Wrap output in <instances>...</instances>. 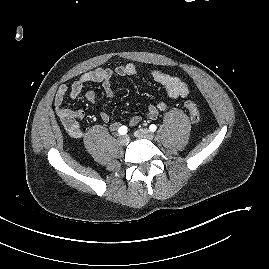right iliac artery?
<instances>
[{"instance_id":"right-iliac-artery-1","label":"right iliac artery","mask_w":269,"mask_h":269,"mask_svg":"<svg viewBox=\"0 0 269 269\" xmlns=\"http://www.w3.org/2000/svg\"><path fill=\"white\" fill-rule=\"evenodd\" d=\"M127 131H128V128H127L126 126H121V127L119 128V130H118V133H119L120 135H124V134L127 133Z\"/></svg>"}]
</instances>
